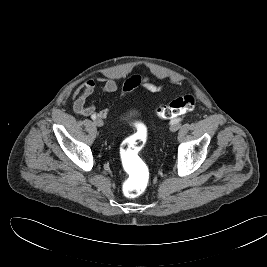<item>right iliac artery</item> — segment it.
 I'll return each instance as SVG.
<instances>
[{
	"label": "right iliac artery",
	"mask_w": 267,
	"mask_h": 267,
	"mask_svg": "<svg viewBox=\"0 0 267 267\" xmlns=\"http://www.w3.org/2000/svg\"><path fill=\"white\" fill-rule=\"evenodd\" d=\"M91 118H92L93 120H95V119H96V115H92Z\"/></svg>",
	"instance_id": "82829eb1"
}]
</instances>
